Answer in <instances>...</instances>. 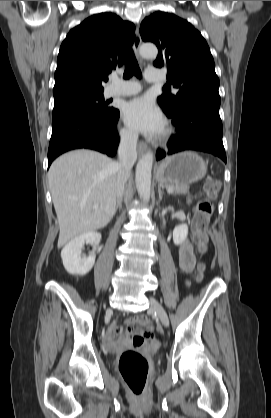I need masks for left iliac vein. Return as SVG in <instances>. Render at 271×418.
<instances>
[{
    "label": "left iliac vein",
    "mask_w": 271,
    "mask_h": 418,
    "mask_svg": "<svg viewBox=\"0 0 271 418\" xmlns=\"http://www.w3.org/2000/svg\"><path fill=\"white\" fill-rule=\"evenodd\" d=\"M150 309L157 315L164 326H169V319L163 306L154 298H150Z\"/></svg>",
    "instance_id": "left-iliac-vein-1"
}]
</instances>
